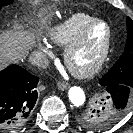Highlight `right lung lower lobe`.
<instances>
[{
    "mask_svg": "<svg viewBox=\"0 0 133 133\" xmlns=\"http://www.w3.org/2000/svg\"><path fill=\"white\" fill-rule=\"evenodd\" d=\"M39 78L18 65L0 72V128L11 130L21 126L37 101Z\"/></svg>",
    "mask_w": 133,
    "mask_h": 133,
    "instance_id": "obj_1",
    "label": "right lung lower lobe"
}]
</instances>
